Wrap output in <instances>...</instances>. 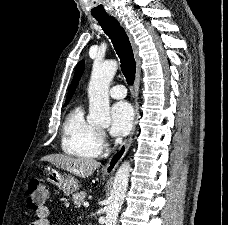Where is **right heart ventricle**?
Listing matches in <instances>:
<instances>
[{
	"instance_id": "1",
	"label": "right heart ventricle",
	"mask_w": 228,
	"mask_h": 225,
	"mask_svg": "<svg viewBox=\"0 0 228 225\" xmlns=\"http://www.w3.org/2000/svg\"><path fill=\"white\" fill-rule=\"evenodd\" d=\"M61 149L66 155L88 159L97 158L102 152L99 130L85 119L81 105L75 106L65 118Z\"/></svg>"
}]
</instances>
